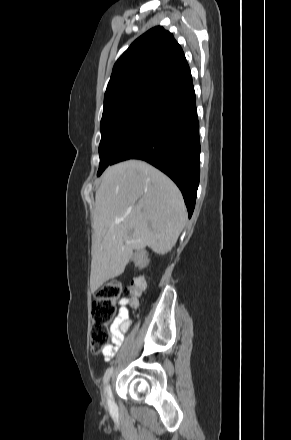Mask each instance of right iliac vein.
<instances>
[{"instance_id": "obj_1", "label": "right iliac vein", "mask_w": 291, "mask_h": 440, "mask_svg": "<svg viewBox=\"0 0 291 440\" xmlns=\"http://www.w3.org/2000/svg\"><path fill=\"white\" fill-rule=\"evenodd\" d=\"M105 392H106V398H107L108 405L113 406V394H112V388H111L110 384L106 385Z\"/></svg>"}]
</instances>
